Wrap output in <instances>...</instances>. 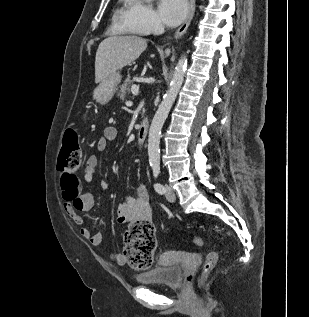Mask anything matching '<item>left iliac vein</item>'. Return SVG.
I'll use <instances>...</instances> for the list:
<instances>
[{
  "label": "left iliac vein",
  "mask_w": 309,
  "mask_h": 317,
  "mask_svg": "<svg viewBox=\"0 0 309 317\" xmlns=\"http://www.w3.org/2000/svg\"><path fill=\"white\" fill-rule=\"evenodd\" d=\"M165 196L169 202H174L176 200L175 192L169 185L165 186Z\"/></svg>",
  "instance_id": "obj_1"
}]
</instances>
